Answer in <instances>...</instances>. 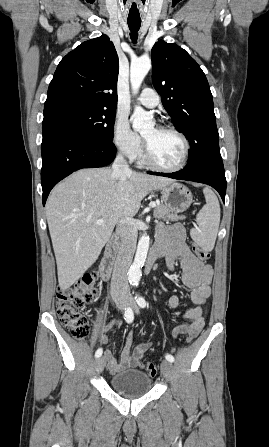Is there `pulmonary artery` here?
Returning a JSON list of instances; mask_svg holds the SVG:
<instances>
[{
    "label": "pulmonary artery",
    "instance_id": "obj_1",
    "mask_svg": "<svg viewBox=\"0 0 269 447\" xmlns=\"http://www.w3.org/2000/svg\"><path fill=\"white\" fill-rule=\"evenodd\" d=\"M138 100L146 108L155 109L160 103V96L155 90L145 88L142 90Z\"/></svg>",
    "mask_w": 269,
    "mask_h": 447
}]
</instances>
